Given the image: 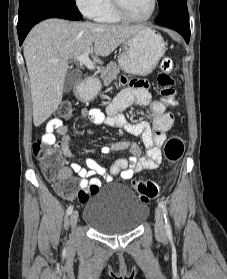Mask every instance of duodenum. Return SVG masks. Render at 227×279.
<instances>
[{
  "label": "duodenum",
  "instance_id": "1",
  "mask_svg": "<svg viewBox=\"0 0 227 279\" xmlns=\"http://www.w3.org/2000/svg\"><path fill=\"white\" fill-rule=\"evenodd\" d=\"M75 97H76L77 100H79L81 102H89L90 101L85 95V91H84L83 86L77 87V89L75 91Z\"/></svg>",
  "mask_w": 227,
  "mask_h": 279
}]
</instances>
